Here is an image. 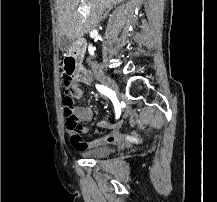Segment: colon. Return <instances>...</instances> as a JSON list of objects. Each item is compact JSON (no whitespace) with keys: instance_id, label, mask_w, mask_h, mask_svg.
I'll use <instances>...</instances> for the list:
<instances>
[{"instance_id":"colon-1","label":"colon","mask_w":217,"mask_h":202,"mask_svg":"<svg viewBox=\"0 0 217 202\" xmlns=\"http://www.w3.org/2000/svg\"><path fill=\"white\" fill-rule=\"evenodd\" d=\"M72 96H75L73 90L66 88L63 90L62 100L66 125L68 130L82 131V126L77 123Z\"/></svg>"}]
</instances>
